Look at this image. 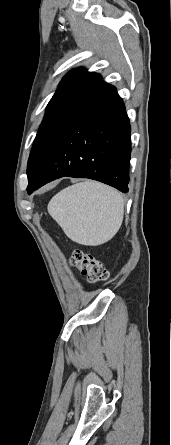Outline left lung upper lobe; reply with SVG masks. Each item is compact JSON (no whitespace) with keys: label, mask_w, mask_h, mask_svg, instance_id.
<instances>
[{"label":"left lung upper lobe","mask_w":171,"mask_h":445,"mask_svg":"<svg viewBox=\"0 0 171 445\" xmlns=\"http://www.w3.org/2000/svg\"><path fill=\"white\" fill-rule=\"evenodd\" d=\"M116 91L96 73L70 71L46 107L28 160V180L34 178L68 130L95 105Z\"/></svg>","instance_id":"5c2ea615"}]
</instances>
